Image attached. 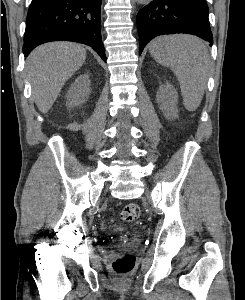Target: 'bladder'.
<instances>
[{
    "label": "bladder",
    "instance_id": "bladder-1",
    "mask_svg": "<svg viewBox=\"0 0 245 300\" xmlns=\"http://www.w3.org/2000/svg\"><path fill=\"white\" fill-rule=\"evenodd\" d=\"M114 230H115L116 232H121V231L124 230V228L119 226V227H116Z\"/></svg>",
    "mask_w": 245,
    "mask_h": 300
}]
</instances>
